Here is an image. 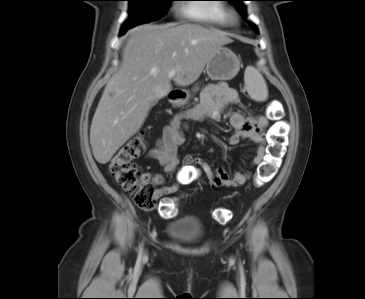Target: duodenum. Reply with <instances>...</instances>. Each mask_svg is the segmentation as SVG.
Here are the masks:
<instances>
[{"mask_svg":"<svg viewBox=\"0 0 365 299\" xmlns=\"http://www.w3.org/2000/svg\"><path fill=\"white\" fill-rule=\"evenodd\" d=\"M169 96H170L171 100L176 101V100L183 99L185 96V93L181 90H173L170 92Z\"/></svg>","mask_w":365,"mask_h":299,"instance_id":"410a0bca","label":"duodenum"}]
</instances>
